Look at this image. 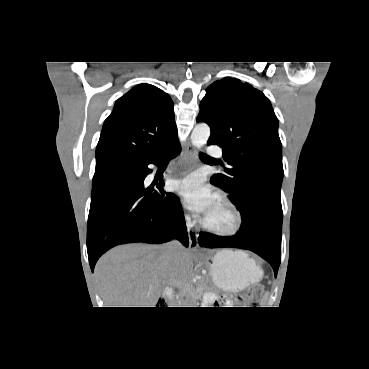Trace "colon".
<instances>
[{
    "label": "colon",
    "instance_id": "obj_1",
    "mask_svg": "<svg viewBox=\"0 0 369 369\" xmlns=\"http://www.w3.org/2000/svg\"><path fill=\"white\" fill-rule=\"evenodd\" d=\"M263 292V286L260 284H256L249 287L234 300H227L226 304L230 306H251L257 304L262 299Z\"/></svg>",
    "mask_w": 369,
    "mask_h": 369
}]
</instances>
